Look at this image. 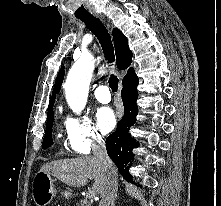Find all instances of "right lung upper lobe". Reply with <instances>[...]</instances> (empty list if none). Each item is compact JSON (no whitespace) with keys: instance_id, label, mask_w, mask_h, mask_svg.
<instances>
[{"instance_id":"1","label":"right lung upper lobe","mask_w":221,"mask_h":206,"mask_svg":"<svg viewBox=\"0 0 221 206\" xmlns=\"http://www.w3.org/2000/svg\"><path fill=\"white\" fill-rule=\"evenodd\" d=\"M113 40L115 45V53H116V60H117V67L120 70H124L130 67L132 62V51L128 47V40L122 34V32L114 28L113 29ZM134 73L133 68H129L127 75L124 77L126 79L128 76ZM64 78V67H62L57 75L54 89L52 92V97L50 98L49 106H48V113L53 110V105L55 101L56 94L60 91L61 84Z\"/></svg>"}]
</instances>
